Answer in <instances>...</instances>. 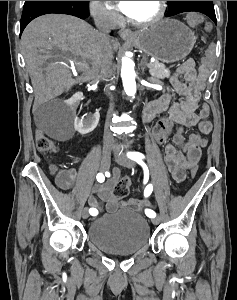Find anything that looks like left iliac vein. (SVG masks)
I'll use <instances>...</instances> for the list:
<instances>
[{"label": "left iliac vein", "mask_w": 237, "mask_h": 300, "mask_svg": "<svg viewBox=\"0 0 237 300\" xmlns=\"http://www.w3.org/2000/svg\"><path fill=\"white\" fill-rule=\"evenodd\" d=\"M114 158H115V161L118 164H120V165H122V166H124L126 168H132L133 165H134V162L132 160H130L129 158H127L126 156H124V155H122V154H120L118 152L115 153ZM159 221H160L159 216L153 218V223L154 224H158Z\"/></svg>", "instance_id": "obj_1"}]
</instances>
